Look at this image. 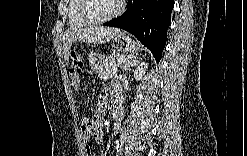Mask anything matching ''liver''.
<instances>
[{
  "mask_svg": "<svg viewBox=\"0 0 247 156\" xmlns=\"http://www.w3.org/2000/svg\"><path fill=\"white\" fill-rule=\"evenodd\" d=\"M119 32L120 30L118 28L113 27H89L69 32L63 41L64 59L69 61L71 46L74 42L106 43L113 39Z\"/></svg>",
  "mask_w": 247,
  "mask_h": 156,
  "instance_id": "1",
  "label": "liver"
}]
</instances>
